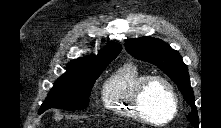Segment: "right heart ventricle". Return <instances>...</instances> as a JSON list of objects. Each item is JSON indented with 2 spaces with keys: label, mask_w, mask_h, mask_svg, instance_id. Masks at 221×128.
I'll return each instance as SVG.
<instances>
[{
  "label": "right heart ventricle",
  "mask_w": 221,
  "mask_h": 128,
  "mask_svg": "<svg viewBox=\"0 0 221 128\" xmlns=\"http://www.w3.org/2000/svg\"><path fill=\"white\" fill-rule=\"evenodd\" d=\"M149 75L131 61L119 66L103 86L104 107L116 116L139 120L133 107V94L138 84Z\"/></svg>",
  "instance_id": "right-heart-ventricle-1"
}]
</instances>
